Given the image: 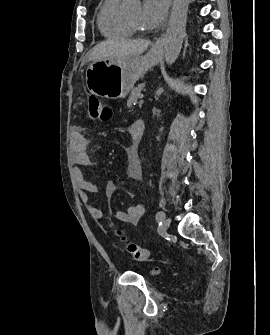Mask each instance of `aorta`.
<instances>
[{"instance_id":"aorta-1","label":"aorta","mask_w":270,"mask_h":335,"mask_svg":"<svg viewBox=\"0 0 270 335\" xmlns=\"http://www.w3.org/2000/svg\"><path fill=\"white\" fill-rule=\"evenodd\" d=\"M190 0H174L168 30L165 34V62L173 64L177 60L185 36L187 12Z\"/></svg>"}]
</instances>
